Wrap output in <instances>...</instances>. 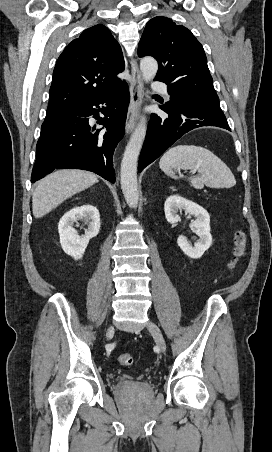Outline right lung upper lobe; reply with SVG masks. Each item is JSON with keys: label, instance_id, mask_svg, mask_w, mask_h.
Returning a JSON list of instances; mask_svg holds the SVG:
<instances>
[{"label": "right lung upper lobe", "instance_id": "cb5924a9", "mask_svg": "<svg viewBox=\"0 0 272 452\" xmlns=\"http://www.w3.org/2000/svg\"><path fill=\"white\" fill-rule=\"evenodd\" d=\"M121 48L109 29L95 25L62 52L53 71L47 113L69 111L116 89L123 81Z\"/></svg>", "mask_w": 272, "mask_h": 452}]
</instances>
